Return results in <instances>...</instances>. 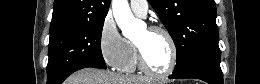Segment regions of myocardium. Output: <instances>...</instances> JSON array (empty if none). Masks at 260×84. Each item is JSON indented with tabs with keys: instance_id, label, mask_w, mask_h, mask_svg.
<instances>
[{
	"instance_id": "myocardium-1",
	"label": "myocardium",
	"mask_w": 260,
	"mask_h": 84,
	"mask_svg": "<svg viewBox=\"0 0 260 84\" xmlns=\"http://www.w3.org/2000/svg\"><path fill=\"white\" fill-rule=\"evenodd\" d=\"M147 30L150 33H155V32L162 33L166 37V39L168 40V43L170 45V50H171L170 62H169L168 68L163 72H157V71L152 70L145 61L141 47L137 43H135L134 46H135L137 63H138L139 69L142 72H144L146 75L154 77V78L169 77L170 75H172L174 73V71L177 67V63H178V48H177L175 38L167 28H165L161 25H151L147 28Z\"/></svg>"
}]
</instances>
